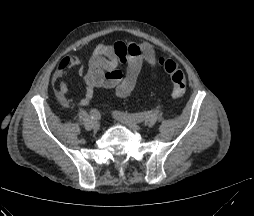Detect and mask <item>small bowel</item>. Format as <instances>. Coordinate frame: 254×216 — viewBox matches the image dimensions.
<instances>
[{
    "mask_svg": "<svg viewBox=\"0 0 254 216\" xmlns=\"http://www.w3.org/2000/svg\"><path fill=\"white\" fill-rule=\"evenodd\" d=\"M144 62L152 68L157 64L155 50L149 43L116 41L112 45L98 44L87 66L78 70V75L85 84V94L79 100V104L88 105L94 97L95 88L111 89L116 98L129 96L137 83ZM80 63L79 56H66L54 73L56 97L63 106L70 105L67 97L69 87L63 79L71 68ZM120 65L125 66V69L121 70Z\"/></svg>",
    "mask_w": 254,
    "mask_h": 216,
    "instance_id": "small-bowel-1",
    "label": "small bowel"
}]
</instances>
